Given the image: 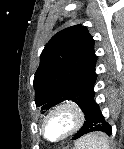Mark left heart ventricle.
Masks as SVG:
<instances>
[{"label": "left heart ventricle", "mask_w": 124, "mask_h": 149, "mask_svg": "<svg viewBox=\"0 0 124 149\" xmlns=\"http://www.w3.org/2000/svg\"><path fill=\"white\" fill-rule=\"evenodd\" d=\"M68 115H58L49 120L47 134L51 139H58L63 136L70 127Z\"/></svg>", "instance_id": "obj_1"}]
</instances>
